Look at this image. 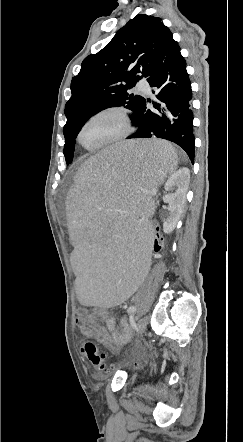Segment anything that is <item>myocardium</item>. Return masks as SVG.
<instances>
[{
    "instance_id": "f54148a6",
    "label": "myocardium",
    "mask_w": 243,
    "mask_h": 442,
    "mask_svg": "<svg viewBox=\"0 0 243 442\" xmlns=\"http://www.w3.org/2000/svg\"><path fill=\"white\" fill-rule=\"evenodd\" d=\"M107 114H115V115H117L122 120V124H123L122 131L118 135H116V136H114V137H112V138H110V139H108V140H106V141H104L102 143H99L97 145H94V146H87V145H85L82 142V140H81V134H82V131H83L84 127L89 122L94 120L95 118L103 116V115H107ZM132 130H133L132 120H131L129 112L125 108H122V107H108V108L102 109V110L92 114L91 116H89L81 124V126L79 127L76 138H77L78 143L83 148H85L87 150H98V149L107 147L109 145H112L114 143H117L119 141L124 140L126 137H128L130 135Z\"/></svg>"
}]
</instances>
